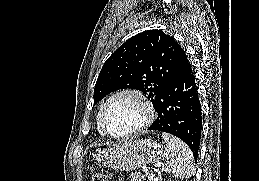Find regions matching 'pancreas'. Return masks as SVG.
I'll use <instances>...</instances> for the list:
<instances>
[{
  "instance_id": "obj_1",
  "label": "pancreas",
  "mask_w": 259,
  "mask_h": 181,
  "mask_svg": "<svg viewBox=\"0 0 259 181\" xmlns=\"http://www.w3.org/2000/svg\"><path fill=\"white\" fill-rule=\"evenodd\" d=\"M129 178L131 181H145V177L140 172L132 173Z\"/></svg>"
}]
</instances>
